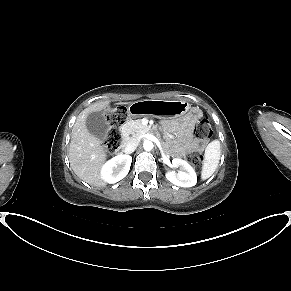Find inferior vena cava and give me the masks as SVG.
I'll return each instance as SVG.
<instances>
[{
  "mask_svg": "<svg viewBox=\"0 0 291 291\" xmlns=\"http://www.w3.org/2000/svg\"><path fill=\"white\" fill-rule=\"evenodd\" d=\"M138 143L139 142L137 140H135V139L129 140L128 143H127V145H126V147L124 148V152L126 154L133 153L135 151V149L137 148Z\"/></svg>",
  "mask_w": 291,
  "mask_h": 291,
  "instance_id": "inferior-vena-cava-1",
  "label": "inferior vena cava"
}]
</instances>
